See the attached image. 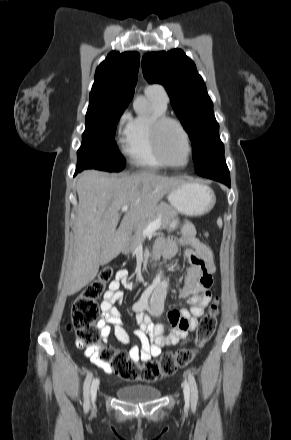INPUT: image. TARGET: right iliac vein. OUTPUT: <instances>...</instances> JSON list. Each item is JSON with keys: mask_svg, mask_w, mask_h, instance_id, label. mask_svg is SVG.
Wrapping results in <instances>:
<instances>
[{"mask_svg": "<svg viewBox=\"0 0 291 440\" xmlns=\"http://www.w3.org/2000/svg\"><path fill=\"white\" fill-rule=\"evenodd\" d=\"M99 388V379L96 378L92 381L90 392H91V399L94 402L96 399L97 390Z\"/></svg>", "mask_w": 291, "mask_h": 440, "instance_id": "obj_1", "label": "right iliac vein"}]
</instances>
